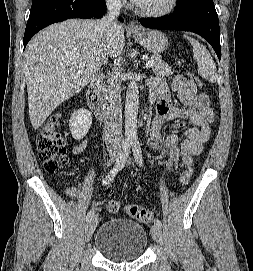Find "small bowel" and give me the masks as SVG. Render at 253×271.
Wrapping results in <instances>:
<instances>
[{
  "mask_svg": "<svg viewBox=\"0 0 253 271\" xmlns=\"http://www.w3.org/2000/svg\"><path fill=\"white\" fill-rule=\"evenodd\" d=\"M171 87L186 108L172 105ZM149 93L157 98V114L152 121L149 139L151 147L158 150L164 148L162 163L168 169L191 165L193 157L203 151L204 144L210 139L211 126L215 120L207 97L198 93L194 79L183 75L175 76L171 85L165 77H156L150 83ZM175 122L180 126L189 124L185 127V139L181 142L174 132L162 135V128H172ZM88 141V138H84L73 148V154H80ZM94 208L99 209L96 204Z\"/></svg>",
  "mask_w": 253,
  "mask_h": 271,
  "instance_id": "obj_1",
  "label": "small bowel"
}]
</instances>
